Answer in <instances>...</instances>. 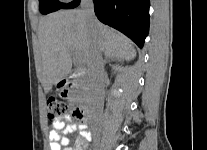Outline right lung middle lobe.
I'll list each match as a JSON object with an SVG mask.
<instances>
[{
  "label": "right lung middle lobe",
  "mask_w": 207,
  "mask_h": 150,
  "mask_svg": "<svg viewBox=\"0 0 207 150\" xmlns=\"http://www.w3.org/2000/svg\"><path fill=\"white\" fill-rule=\"evenodd\" d=\"M65 4L58 0H39L40 12L48 14L61 9Z\"/></svg>",
  "instance_id": "obj_1"
}]
</instances>
